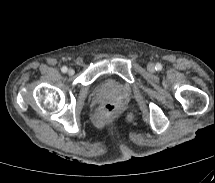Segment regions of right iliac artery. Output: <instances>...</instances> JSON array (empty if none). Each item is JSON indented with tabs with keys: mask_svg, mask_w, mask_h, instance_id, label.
<instances>
[{
	"mask_svg": "<svg viewBox=\"0 0 215 183\" xmlns=\"http://www.w3.org/2000/svg\"><path fill=\"white\" fill-rule=\"evenodd\" d=\"M67 70H68V69H67V67H65V66L61 68V71H62L63 73H66Z\"/></svg>",
	"mask_w": 215,
	"mask_h": 183,
	"instance_id": "right-iliac-artery-1",
	"label": "right iliac artery"
}]
</instances>
